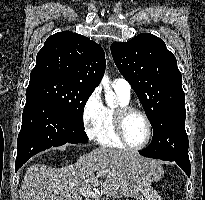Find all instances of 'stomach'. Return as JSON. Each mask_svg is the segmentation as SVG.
<instances>
[{
	"mask_svg": "<svg viewBox=\"0 0 205 200\" xmlns=\"http://www.w3.org/2000/svg\"><path fill=\"white\" fill-rule=\"evenodd\" d=\"M161 170V168H157L158 172ZM135 200H162V198L150 185L148 187H144L138 195H136Z\"/></svg>",
	"mask_w": 205,
	"mask_h": 200,
	"instance_id": "obj_1",
	"label": "stomach"
}]
</instances>
